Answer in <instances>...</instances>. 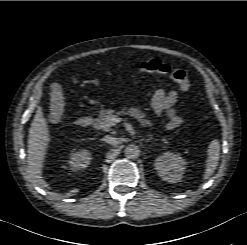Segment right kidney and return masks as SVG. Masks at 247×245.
<instances>
[{
	"label": "right kidney",
	"instance_id": "obj_1",
	"mask_svg": "<svg viewBox=\"0 0 247 245\" xmlns=\"http://www.w3.org/2000/svg\"><path fill=\"white\" fill-rule=\"evenodd\" d=\"M91 161V153L88 150H80L74 152L70 155V159L68 161L70 169L72 170H80L85 169L89 166Z\"/></svg>",
	"mask_w": 247,
	"mask_h": 245
}]
</instances>
